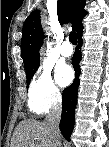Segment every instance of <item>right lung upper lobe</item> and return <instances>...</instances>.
<instances>
[{
    "label": "right lung upper lobe",
    "mask_w": 109,
    "mask_h": 147,
    "mask_svg": "<svg viewBox=\"0 0 109 147\" xmlns=\"http://www.w3.org/2000/svg\"><path fill=\"white\" fill-rule=\"evenodd\" d=\"M85 0H58L57 13L60 23L71 22L77 33L83 28L82 19L86 15ZM43 29L40 21V12L33 11L26 19L21 39V54L24 67L27 70L40 64L39 47L43 41Z\"/></svg>",
    "instance_id": "cb5924a9"
}]
</instances>
